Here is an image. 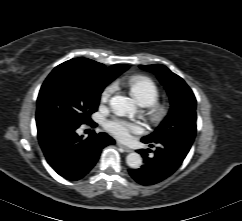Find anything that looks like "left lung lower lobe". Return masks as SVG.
<instances>
[{
  "mask_svg": "<svg viewBox=\"0 0 242 221\" xmlns=\"http://www.w3.org/2000/svg\"><path fill=\"white\" fill-rule=\"evenodd\" d=\"M152 144L156 146L153 154H149L150 149L137 151L142 155L144 165L139 169L129 170L131 177L141 185H154L172 175L182 164L191 148L189 144L174 140ZM152 144L151 147L154 146Z\"/></svg>",
  "mask_w": 242,
  "mask_h": 221,
  "instance_id": "left-lung-lower-lobe-1",
  "label": "left lung lower lobe"
}]
</instances>
